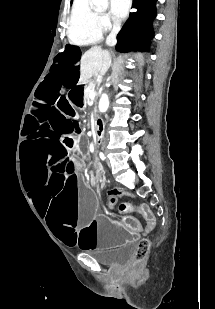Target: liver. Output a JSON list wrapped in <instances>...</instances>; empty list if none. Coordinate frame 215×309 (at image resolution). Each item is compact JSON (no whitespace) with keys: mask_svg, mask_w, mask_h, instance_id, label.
<instances>
[{"mask_svg":"<svg viewBox=\"0 0 215 309\" xmlns=\"http://www.w3.org/2000/svg\"><path fill=\"white\" fill-rule=\"evenodd\" d=\"M111 60L109 50H102L101 46H91L81 56L78 84H86L94 74H105L111 66Z\"/></svg>","mask_w":215,"mask_h":309,"instance_id":"liver-1","label":"liver"}]
</instances>
